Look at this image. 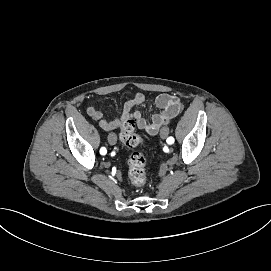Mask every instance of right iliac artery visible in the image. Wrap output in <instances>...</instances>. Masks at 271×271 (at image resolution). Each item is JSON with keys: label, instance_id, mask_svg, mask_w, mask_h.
Listing matches in <instances>:
<instances>
[{"label": "right iliac artery", "instance_id": "obj_1", "mask_svg": "<svg viewBox=\"0 0 271 271\" xmlns=\"http://www.w3.org/2000/svg\"><path fill=\"white\" fill-rule=\"evenodd\" d=\"M106 152H107V150H106L105 147H102V148L100 149V155L105 156V155H106Z\"/></svg>", "mask_w": 271, "mask_h": 271}]
</instances>
